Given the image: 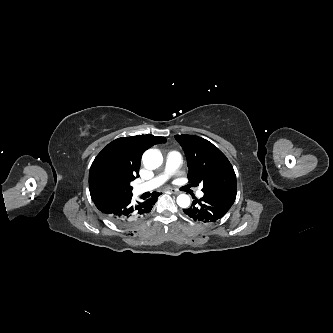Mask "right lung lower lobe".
I'll use <instances>...</instances> for the list:
<instances>
[{
  "label": "right lung lower lobe",
  "mask_w": 333,
  "mask_h": 333,
  "mask_svg": "<svg viewBox=\"0 0 333 333\" xmlns=\"http://www.w3.org/2000/svg\"><path fill=\"white\" fill-rule=\"evenodd\" d=\"M90 194L96 207L110 221L121 226H130L142 220L151 211L160 195L154 192L151 198L133 204L132 193L97 189Z\"/></svg>",
  "instance_id": "98d812e1"
}]
</instances>
